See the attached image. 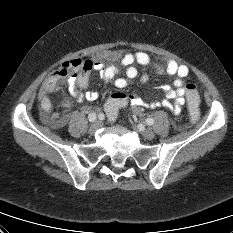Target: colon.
<instances>
[{
	"mask_svg": "<svg viewBox=\"0 0 233 233\" xmlns=\"http://www.w3.org/2000/svg\"><path fill=\"white\" fill-rule=\"evenodd\" d=\"M92 69V62L83 59H73L64 63L61 68L50 75L44 86H42L39 100L41 107L48 110L51 107L50 95L54 92L59 82L67 76H80L88 73ZM186 97L192 121L199 117V95L195 84L185 85ZM128 96L122 92L113 93L105 106V113L109 120H114L118 112L127 104Z\"/></svg>",
	"mask_w": 233,
	"mask_h": 233,
	"instance_id": "1",
	"label": "colon"
}]
</instances>
